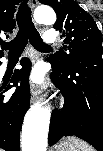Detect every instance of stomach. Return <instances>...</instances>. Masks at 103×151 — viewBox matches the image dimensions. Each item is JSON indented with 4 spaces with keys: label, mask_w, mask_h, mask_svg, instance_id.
Instances as JSON below:
<instances>
[{
    "label": "stomach",
    "mask_w": 103,
    "mask_h": 151,
    "mask_svg": "<svg viewBox=\"0 0 103 151\" xmlns=\"http://www.w3.org/2000/svg\"><path fill=\"white\" fill-rule=\"evenodd\" d=\"M55 151H79V147L70 138H66L56 146Z\"/></svg>",
    "instance_id": "obj_1"
}]
</instances>
